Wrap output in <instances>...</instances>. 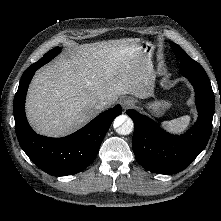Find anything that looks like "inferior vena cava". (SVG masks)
Segmentation results:
<instances>
[{"label":"inferior vena cava","mask_w":221,"mask_h":221,"mask_svg":"<svg viewBox=\"0 0 221 221\" xmlns=\"http://www.w3.org/2000/svg\"><path fill=\"white\" fill-rule=\"evenodd\" d=\"M109 104L108 100L106 98H101L96 103V108L103 109L105 106Z\"/></svg>","instance_id":"1"}]
</instances>
